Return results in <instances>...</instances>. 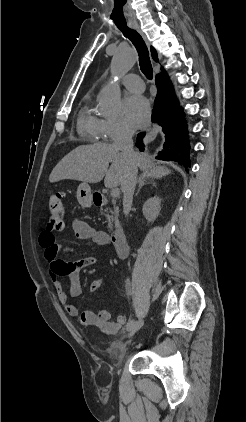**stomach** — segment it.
Instances as JSON below:
<instances>
[{"label": "stomach", "mask_w": 246, "mask_h": 422, "mask_svg": "<svg viewBox=\"0 0 246 422\" xmlns=\"http://www.w3.org/2000/svg\"><path fill=\"white\" fill-rule=\"evenodd\" d=\"M77 200L83 207H90L93 202V193L88 183L83 182L77 188Z\"/></svg>", "instance_id": "1"}]
</instances>
